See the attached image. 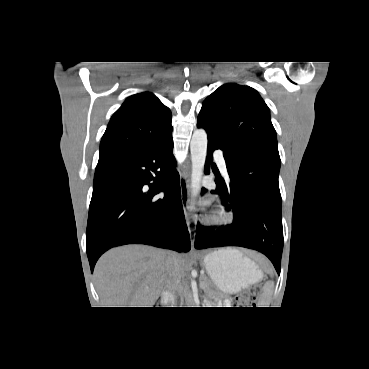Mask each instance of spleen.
<instances>
[{
	"label": "spleen",
	"mask_w": 369,
	"mask_h": 369,
	"mask_svg": "<svg viewBox=\"0 0 369 369\" xmlns=\"http://www.w3.org/2000/svg\"><path fill=\"white\" fill-rule=\"evenodd\" d=\"M263 290H264V293L262 295L260 304L265 305L263 307H267L266 305H269V297H270V293L272 290V284L271 283L265 284Z\"/></svg>",
	"instance_id": "3e777b00"
}]
</instances>
